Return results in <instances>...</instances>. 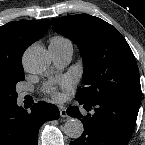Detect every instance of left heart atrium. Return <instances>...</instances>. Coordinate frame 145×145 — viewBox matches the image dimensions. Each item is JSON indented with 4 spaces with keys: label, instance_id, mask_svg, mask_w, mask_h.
<instances>
[{
    "label": "left heart atrium",
    "instance_id": "left-heart-atrium-1",
    "mask_svg": "<svg viewBox=\"0 0 145 145\" xmlns=\"http://www.w3.org/2000/svg\"><path fill=\"white\" fill-rule=\"evenodd\" d=\"M73 86V82L70 78H62L59 82V87L62 89H70ZM59 87L54 84H47L46 91L55 99H61V93L59 92Z\"/></svg>",
    "mask_w": 145,
    "mask_h": 145
}]
</instances>
